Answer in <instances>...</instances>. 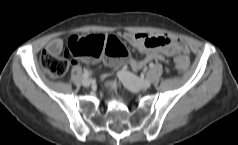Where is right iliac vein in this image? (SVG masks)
<instances>
[{
	"label": "right iliac vein",
	"mask_w": 238,
	"mask_h": 145,
	"mask_svg": "<svg viewBox=\"0 0 238 145\" xmlns=\"http://www.w3.org/2000/svg\"><path fill=\"white\" fill-rule=\"evenodd\" d=\"M91 83H92V80L89 79V78H85V79L82 80V85L85 86V87L90 86Z\"/></svg>",
	"instance_id": "63e3f726"
}]
</instances>
